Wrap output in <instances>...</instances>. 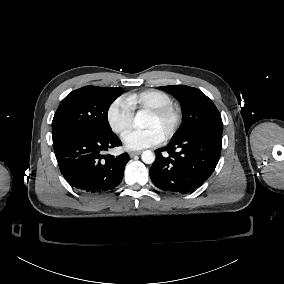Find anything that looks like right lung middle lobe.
Masks as SVG:
<instances>
[{
	"mask_svg": "<svg viewBox=\"0 0 284 284\" xmlns=\"http://www.w3.org/2000/svg\"><path fill=\"white\" fill-rule=\"evenodd\" d=\"M123 92L121 87L84 86L60 103L53 121V142L72 133H110L107 111Z\"/></svg>",
	"mask_w": 284,
	"mask_h": 284,
	"instance_id": "obj_1",
	"label": "right lung middle lobe"
}]
</instances>
